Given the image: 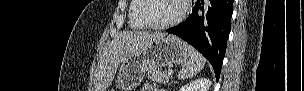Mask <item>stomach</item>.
I'll return each mask as SVG.
<instances>
[{"label":"stomach","instance_id":"0dacf381","mask_svg":"<svg viewBox=\"0 0 304 91\" xmlns=\"http://www.w3.org/2000/svg\"><path fill=\"white\" fill-rule=\"evenodd\" d=\"M188 58V45L178 37H156L143 49L127 55L121 61L117 85L122 91H132L143 80L147 67L160 68L183 64Z\"/></svg>","mask_w":304,"mask_h":91}]
</instances>
